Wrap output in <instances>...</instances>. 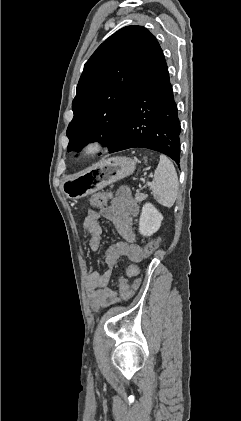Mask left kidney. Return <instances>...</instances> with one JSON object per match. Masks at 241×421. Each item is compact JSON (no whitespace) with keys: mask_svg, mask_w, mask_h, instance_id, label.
Masks as SVG:
<instances>
[{"mask_svg":"<svg viewBox=\"0 0 241 421\" xmlns=\"http://www.w3.org/2000/svg\"><path fill=\"white\" fill-rule=\"evenodd\" d=\"M162 220V214L151 203H146L142 207L139 220V233L143 236H151L158 231Z\"/></svg>","mask_w":241,"mask_h":421,"instance_id":"1","label":"left kidney"}]
</instances>
